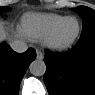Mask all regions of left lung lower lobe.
Masks as SVG:
<instances>
[{"mask_svg": "<svg viewBox=\"0 0 95 95\" xmlns=\"http://www.w3.org/2000/svg\"><path fill=\"white\" fill-rule=\"evenodd\" d=\"M44 61L50 95H95V32L80 36L68 53L46 52Z\"/></svg>", "mask_w": 95, "mask_h": 95, "instance_id": "0a47b994", "label": "left lung lower lobe"}]
</instances>
